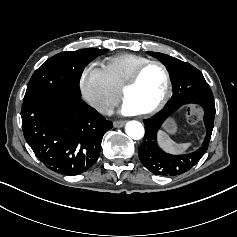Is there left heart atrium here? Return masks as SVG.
Listing matches in <instances>:
<instances>
[{"instance_id":"1","label":"left heart atrium","mask_w":237,"mask_h":237,"mask_svg":"<svg viewBox=\"0 0 237 237\" xmlns=\"http://www.w3.org/2000/svg\"><path fill=\"white\" fill-rule=\"evenodd\" d=\"M122 115L130 116L139 114L127 101H125L119 109Z\"/></svg>"}]
</instances>
